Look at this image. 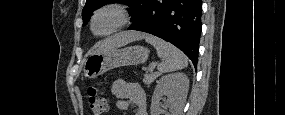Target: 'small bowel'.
<instances>
[{
  "instance_id": "c3829d8e",
  "label": "small bowel",
  "mask_w": 285,
  "mask_h": 115,
  "mask_svg": "<svg viewBox=\"0 0 285 115\" xmlns=\"http://www.w3.org/2000/svg\"><path fill=\"white\" fill-rule=\"evenodd\" d=\"M112 93L119 99L117 105L120 109L132 106L135 115H148L147 97L139 84L116 79L112 83Z\"/></svg>"
}]
</instances>
